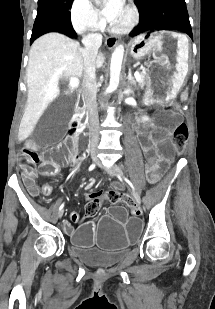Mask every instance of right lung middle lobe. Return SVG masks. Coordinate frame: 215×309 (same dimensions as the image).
Listing matches in <instances>:
<instances>
[{"label": "right lung middle lobe", "mask_w": 215, "mask_h": 309, "mask_svg": "<svg viewBox=\"0 0 215 309\" xmlns=\"http://www.w3.org/2000/svg\"><path fill=\"white\" fill-rule=\"evenodd\" d=\"M73 0H38L37 16L34 23L31 42L44 33L58 31L71 37L76 33L70 19Z\"/></svg>", "instance_id": "1"}]
</instances>
